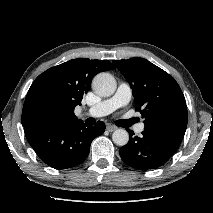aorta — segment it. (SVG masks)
Returning a JSON list of instances; mask_svg holds the SVG:
<instances>
[{"label":"aorta","mask_w":213,"mask_h":213,"mask_svg":"<svg viewBox=\"0 0 213 213\" xmlns=\"http://www.w3.org/2000/svg\"><path fill=\"white\" fill-rule=\"evenodd\" d=\"M92 87L96 94L108 97L115 92L116 81L111 74L102 72L94 77ZM112 140L116 145L124 146L129 141V134L124 129H117L112 134Z\"/></svg>","instance_id":"762f6f07"}]
</instances>
